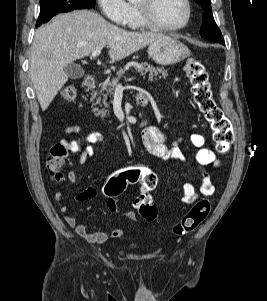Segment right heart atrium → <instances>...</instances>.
<instances>
[{"label": "right heart atrium", "mask_w": 267, "mask_h": 301, "mask_svg": "<svg viewBox=\"0 0 267 301\" xmlns=\"http://www.w3.org/2000/svg\"><path fill=\"white\" fill-rule=\"evenodd\" d=\"M102 13L119 26L129 24L132 7L126 0H97Z\"/></svg>", "instance_id": "1"}]
</instances>
